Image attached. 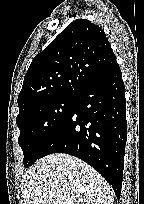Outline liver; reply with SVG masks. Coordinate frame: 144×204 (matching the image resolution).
Here are the masks:
<instances>
[{"mask_svg": "<svg viewBox=\"0 0 144 204\" xmlns=\"http://www.w3.org/2000/svg\"><path fill=\"white\" fill-rule=\"evenodd\" d=\"M21 185L23 204H113L114 200L112 187L95 169L64 153L38 160L22 175Z\"/></svg>", "mask_w": 144, "mask_h": 204, "instance_id": "6515ba94", "label": "liver"}]
</instances>
